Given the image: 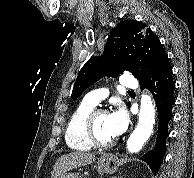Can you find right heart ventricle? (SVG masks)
<instances>
[{
  "label": "right heart ventricle",
  "instance_id": "e07e8e85",
  "mask_svg": "<svg viewBox=\"0 0 194 178\" xmlns=\"http://www.w3.org/2000/svg\"><path fill=\"white\" fill-rule=\"evenodd\" d=\"M95 105L82 101L73 111L65 130V141L69 148L77 151H88L93 145L87 139L84 121Z\"/></svg>",
  "mask_w": 194,
  "mask_h": 178
}]
</instances>
